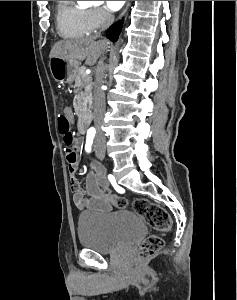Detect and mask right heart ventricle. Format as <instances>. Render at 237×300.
Here are the masks:
<instances>
[{
	"instance_id": "right-heart-ventricle-1",
	"label": "right heart ventricle",
	"mask_w": 237,
	"mask_h": 300,
	"mask_svg": "<svg viewBox=\"0 0 237 300\" xmlns=\"http://www.w3.org/2000/svg\"><path fill=\"white\" fill-rule=\"evenodd\" d=\"M86 11L74 1H56V26L65 37L87 33Z\"/></svg>"
}]
</instances>
